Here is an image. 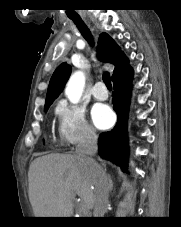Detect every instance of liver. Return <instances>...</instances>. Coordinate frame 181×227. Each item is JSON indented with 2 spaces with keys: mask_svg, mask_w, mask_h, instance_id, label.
Wrapping results in <instances>:
<instances>
[{
  "mask_svg": "<svg viewBox=\"0 0 181 227\" xmlns=\"http://www.w3.org/2000/svg\"><path fill=\"white\" fill-rule=\"evenodd\" d=\"M28 180L36 217H70L76 195L88 209L94 207L95 172L78 155L52 153L36 158Z\"/></svg>",
  "mask_w": 181,
  "mask_h": 227,
  "instance_id": "liver-1",
  "label": "liver"
}]
</instances>
